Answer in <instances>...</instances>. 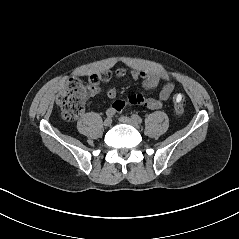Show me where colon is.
<instances>
[{"label":"colon","instance_id":"obj_1","mask_svg":"<svg viewBox=\"0 0 239 239\" xmlns=\"http://www.w3.org/2000/svg\"><path fill=\"white\" fill-rule=\"evenodd\" d=\"M105 74L104 77L106 76ZM94 84L95 81L93 79L88 81V83L76 78H72L68 81L66 88L57 98V106L59 107L61 116L64 120L74 121L81 115L84 103L90 95ZM184 105V96L180 93L176 94L174 97V113L177 117L183 115Z\"/></svg>","mask_w":239,"mask_h":239}]
</instances>
